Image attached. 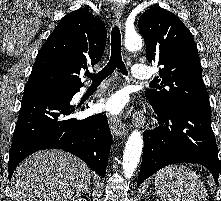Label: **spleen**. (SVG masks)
<instances>
[{"label": "spleen", "instance_id": "1", "mask_svg": "<svg viewBox=\"0 0 221 201\" xmlns=\"http://www.w3.org/2000/svg\"><path fill=\"white\" fill-rule=\"evenodd\" d=\"M155 191L162 201H208L203 182L184 165H170L158 171Z\"/></svg>", "mask_w": 221, "mask_h": 201}]
</instances>
